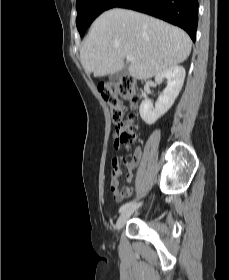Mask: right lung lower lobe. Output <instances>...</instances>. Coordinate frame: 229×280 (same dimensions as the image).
Instances as JSON below:
<instances>
[{
    "instance_id": "1",
    "label": "right lung lower lobe",
    "mask_w": 229,
    "mask_h": 280,
    "mask_svg": "<svg viewBox=\"0 0 229 280\" xmlns=\"http://www.w3.org/2000/svg\"><path fill=\"white\" fill-rule=\"evenodd\" d=\"M116 7L146 13L179 26L195 41L198 0H115L109 9Z\"/></svg>"
}]
</instances>
